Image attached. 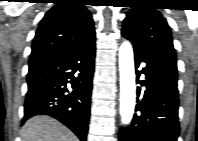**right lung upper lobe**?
Wrapping results in <instances>:
<instances>
[{
    "mask_svg": "<svg viewBox=\"0 0 198 141\" xmlns=\"http://www.w3.org/2000/svg\"><path fill=\"white\" fill-rule=\"evenodd\" d=\"M35 34L29 64L68 50L94 33L89 11L81 0H58Z\"/></svg>",
    "mask_w": 198,
    "mask_h": 141,
    "instance_id": "right-lung-upper-lobe-1",
    "label": "right lung upper lobe"
}]
</instances>
